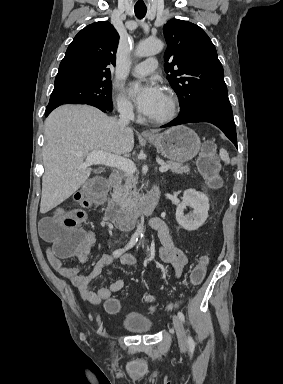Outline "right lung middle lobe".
Returning <instances> with one entry per match:
<instances>
[{
	"label": "right lung middle lobe",
	"instance_id": "right-lung-middle-lobe-1",
	"mask_svg": "<svg viewBox=\"0 0 283 384\" xmlns=\"http://www.w3.org/2000/svg\"><path fill=\"white\" fill-rule=\"evenodd\" d=\"M70 103L111 104L112 82L110 79L91 80L54 87L47 107Z\"/></svg>",
	"mask_w": 283,
	"mask_h": 384
}]
</instances>
